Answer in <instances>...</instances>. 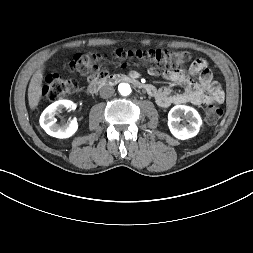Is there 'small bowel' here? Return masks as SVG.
Masks as SVG:
<instances>
[{
    "mask_svg": "<svg viewBox=\"0 0 253 253\" xmlns=\"http://www.w3.org/2000/svg\"><path fill=\"white\" fill-rule=\"evenodd\" d=\"M147 73L151 77H164L184 88L183 91L174 93L169 86L156 88L151 85L152 90L147 93L162 108L183 103L194 105L220 103L224 100L223 90L213 80L208 65L203 59L194 60L187 72L183 70V66L178 69L170 65L160 68L151 66L148 68ZM194 75H199L198 83L193 82L192 76Z\"/></svg>",
    "mask_w": 253,
    "mask_h": 253,
    "instance_id": "c3829d8e",
    "label": "small bowel"
}]
</instances>
